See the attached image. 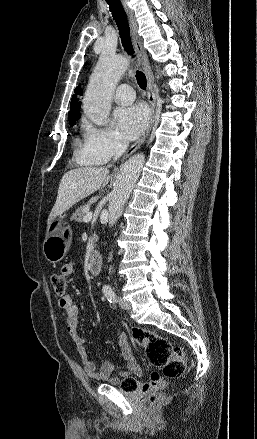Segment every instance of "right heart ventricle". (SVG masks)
Masks as SVG:
<instances>
[{
    "mask_svg": "<svg viewBox=\"0 0 257 439\" xmlns=\"http://www.w3.org/2000/svg\"><path fill=\"white\" fill-rule=\"evenodd\" d=\"M74 144H75L76 150L78 151V153H80L81 150H82V146H81L79 140L75 139ZM84 163H86V164H98V162H93V161H84Z\"/></svg>",
    "mask_w": 257,
    "mask_h": 439,
    "instance_id": "obj_1",
    "label": "right heart ventricle"
}]
</instances>
